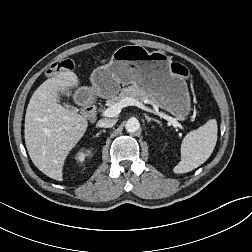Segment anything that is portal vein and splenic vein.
<instances>
[{"instance_id":"portal-vein-and-splenic-vein-1","label":"portal vein and splenic vein","mask_w":252,"mask_h":252,"mask_svg":"<svg viewBox=\"0 0 252 252\" xmlns=\"http://www.w3.org/2000/svg\"><path fill=\"white\" fill-rule=\"evenodd\" d=\"M127 106H137V107H140V108H142L144 110L151 111L150 109H148L147 107H145L141 102H139L137 99L127 97V98H124L123 100H121L119 103L111 105L110 107H108L107 109H105L102 112V115L104 117H116L121 112V109L123 107H127ZM155 113L157 115H159L160 117H162V118L170 121V123L173 126L178 127L181 130H185V128L179 122H177L172 117L166 115L165 113L158 112V111H156Z\"/></svg>"}]
</instances>
